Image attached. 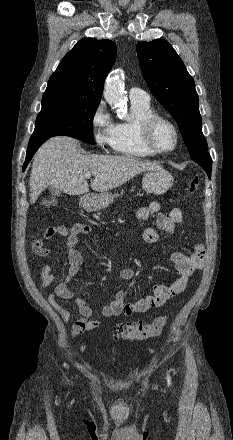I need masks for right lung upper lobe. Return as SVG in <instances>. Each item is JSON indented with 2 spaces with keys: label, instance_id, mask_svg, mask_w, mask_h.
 <instances>
[{
  "label": "right lung upper lobe",
  "instance_id": "obj_1",
  "mask_svg": "<svg viewBox=\"0 0 233 440\" xmlns=\"http://www.w3.org/2000/svg\"><path fill=\"white\" fill-rule=\"evenodd\" d=\"M115 58L114 42L80 40L50 77L42 102L57 99L100 102L104 80Z\"/></svg>",
  "mask_w": 233,
  "mask_h": 440
}]
</instances>
